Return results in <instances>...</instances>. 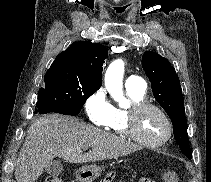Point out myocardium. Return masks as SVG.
<instances>
[{
	"mask_svg": "<svg viewBox=\"0 0 211 182\" xmlns=\"http://www.w3.org/2000/svg\"><path fill=\"white\" fill-rule=\"evenodd\" d=\"M147 109L156 110L162 116L166 124V132L164 136L156 142H150L142 139L137 131L138 116ZM126 124H127L126 130L128 136H130L134 141L145 147L156 148L163 146L169 141L173 132V125L166 111L159 105L144 100L139 102H134L132 106L127 110Z\"/></svg>",
	"mask_w": 211,
	"mask_h": 182,
	"instance_id": "myocardium-1",
	"label": "myocardium"
}]
</instances>
